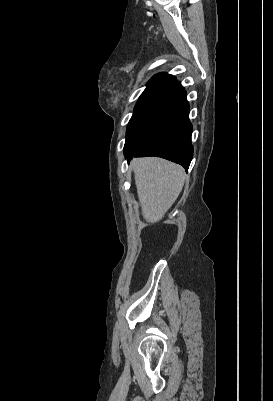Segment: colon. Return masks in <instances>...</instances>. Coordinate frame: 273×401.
Segmentation results:
<instances>
[{
    "mask_svg": "<svg viewBox=\"0 0 273 401\" xmlns=\"http://www.w3.org/2000/svg\"><path fill=\"white\" fill-rule=\"evenodd\" d=\"M135 268H140V263H135Z\"/></svg>",
    "mask_w": 273,
    "mask_h": 401,
    "instance_id": "obj_1",
    "label": "colon"
}]
</instances>
